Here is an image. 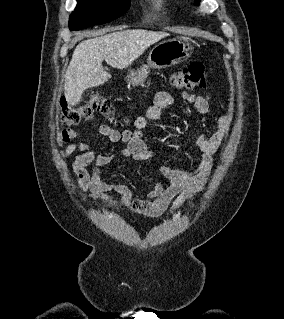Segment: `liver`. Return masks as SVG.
Wrapping results in <instances>:
<instances>
[{
    "label": "liver",
    "mask_w": 284,
    "mask_h": 319,
    "mask_svg": "<svg viewBox=\"0 0 284 319\" xmlns=\"http://www.w3.org/2000/svg\"><path fill=\"white\" fill-rule=\"evenodd\" d=\"M169 36L166 32L144 29L114 31L80 42L65 75L64 96L69 105L79 103L83 92L111 78L102 66L125 69L152 44Z\"/></svg>",
    "instance_id": "liver-1"
}]
</instances>
